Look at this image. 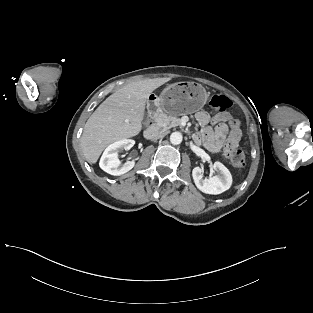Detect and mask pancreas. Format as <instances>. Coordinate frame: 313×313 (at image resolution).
Wrapping results in <instances>:
<instances>
[{
  "label": "pancreas",
  "instance_id": "cf45deb5",
  "mask_svg": "<svg viewBox=\"0 0 313 313\" xmlns=\"http://www.w3.org/2000/svg\"><path fill=\"white\" fill-rule=\"evenodd\" d=\"M156 125L164 130L172 127L181 126V119L174 115H167L163 111H159L155 115Z\"/></svg>",
  "mask_w": 313,
  "mask_h": 313
}]
</instances>
